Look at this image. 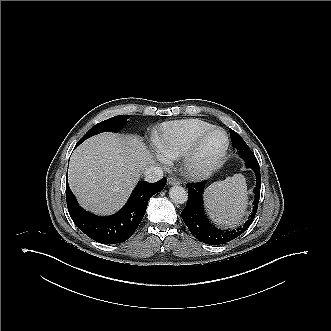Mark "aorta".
<instances>
[{
  "label": "aorta",
  "mask_w": 331,
  "mask_h": 331,
  "mask_svg": "<svg viewBox=\"0 0 331 331\" xmlns=\"http://www.w3.org/2000/svg\"><path fill=\"white\" fill-rule=\"evenodd\" d=\"M169 196L174 203L184 204L187 202L188 193L182 186H173L170 188Z\"/></svg>",
  "instance_id": "obj_1"
}]
</instances>
